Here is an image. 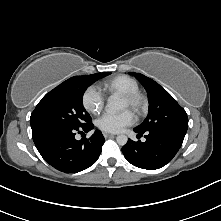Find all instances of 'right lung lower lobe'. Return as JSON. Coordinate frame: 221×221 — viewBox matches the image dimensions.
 <instances>
[{"label":"right lung lower lobe","mask_w":221,"mask_h":221,"mask_svg":"<svg viewBox=\"0 0 221 221\" xmlns=\"http://www.w3.org/2000/svg\"><path fill=\"white\" fill-rule=\"evenodd\" d=\"M91 122L82 127L44 126L32 130L33 141L44 160L55 169L65 173H77L93 165L102 150L104 137L101 131L86 139H75L76 131L93 129Z\"/></svg>","instance_id":"98d812e1"}]
</instances>
